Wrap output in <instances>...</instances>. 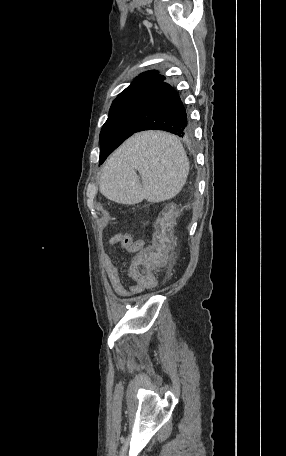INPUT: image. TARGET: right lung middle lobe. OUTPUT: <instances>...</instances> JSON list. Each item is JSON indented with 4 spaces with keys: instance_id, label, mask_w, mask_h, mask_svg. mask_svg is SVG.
Returning <instances> with one entry per match:
<instances>
[{
    "instance_id": "obj_1",
    "label": "right lung middle lobe",
    "mask_w": 286,
    "mask_h": 456,
    "mask_svg": "<svg viewBox=\"0 0 286 456\" xmlns=\"http://www.w3.org/2000/svg\"><path fill=\"white\" fill-rule=\"evenodd\" d=\"M130 133L123 100L113 101L109 117L99 137L101 145L99 163L102 164L107 156L130 136Z\"/></svg>"
}]
</instances>
